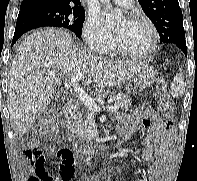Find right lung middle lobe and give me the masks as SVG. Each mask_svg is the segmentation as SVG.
Masks as SVG:
<instances>
[{"instance_id":"obj_1","label":"right lung middle lobe","mask_w":197,"mask_h":181,"mask_svg":"<svg viewBox=\"0 0 197 181\" xmlns=\"http://www.w3.org/2000/svg\"><path fill=\"white\" fill-rule=\"evenodd\" d=\"M25 11L41 14L57 23V27H64L81 36V28L85 20L83 7H63L56 5L37 4Z\"/></svg>"}]
</instances>
